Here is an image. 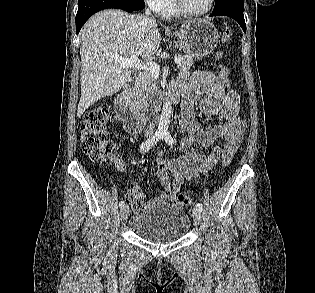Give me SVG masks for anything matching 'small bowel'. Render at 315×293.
Masks as SVG:
<instances>
[{
    "mask_svg": "<svg viewBox=\"0 0 315 293\" xmlns=\"http://www.w3.org/2000/svg\"><path fill=\"white\" fill-rule=\"evenodd\" d=\"M222 79L208 71L195 72L189 82H176L172 91L184 98L182 113L178 119V128L187 132L188 136L180 142V148L185 153L178 159H166L159 156L156 159L157 172L165 192L146 201V196L137 184L127 190L128 202L134 203L135 211L139 212L152 204H167L176 202L180 187L195 178L199 173L212 168L221 156L233 157L242 142L246 124L239 117V96L237 92L227 89ZM199 108L205 116H217L223 122L211 128H204L195 118L194 106L198 97ZM224 141L223 147L214 145L218 140ZM196 144L211 146L208 152H202ZM114 163L121 167L117 159Z\"/></svg>",
    "mask_w": 315,
    "mask_h": 293,
    "instance_id": "c3829d8e",
    "label": "small bowel"
}]
</instances>
